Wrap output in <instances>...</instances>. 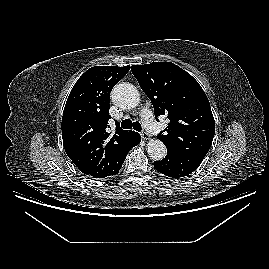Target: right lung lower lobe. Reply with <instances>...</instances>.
Here are the masks:
<instances>
[{"label":"right lung lower lobe","mask_w":269,"mask_h":269,"mask_svg":"<svg viewBox=\"0 0 269 269\" xmlns=\"http://www.w3.org/2000/svg\"><path fill=\"white\" fill-rule=\"evenodd\" d=\"M140 141H141V136L139 133L134 132V131H129V134H128V136H127V138L122 146V156H123L122 161L123 162L127 156L128 151L132 147L138 145L140 143Z\"/></svg>","instance_id":"1"}]
</instances>
